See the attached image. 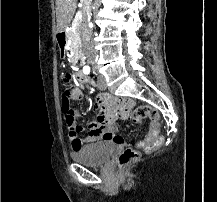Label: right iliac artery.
<instances>
[{"mask_svg":"<svg viewBox=\"0 0 217 202\" xmlns=\"http://www.w3.org/2000/svg\"><path fill=\"white\" fill-rule=\"evenodd\" d=\"M89 73H90V70H88V71L85 72V74H89Z\"/></svg>","mask_w":217,"mask_h":202,"instance_id":"obj_1","label":"right iliac artery"}]
</instances>
